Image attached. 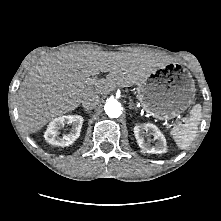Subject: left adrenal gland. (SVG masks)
Masks as SVG:
<instances>
[{
    "instance_id": "left-adrenal-gland-1",
    "label": "left adrenal gland",
    "mask_w": 221,
    "mask_h": 221,
    "mask_svg": "<svg viewBox=\"0 0 221 221\" xmlns=\"http://www.w3.org/2000/svg\"><path fill=\"white\" fill-rule=\"evenodd\" d=\"M129 108L137 110V108L133 105V101L131 99H130V106H129Z\"/></svg>"
}]
</instances>
